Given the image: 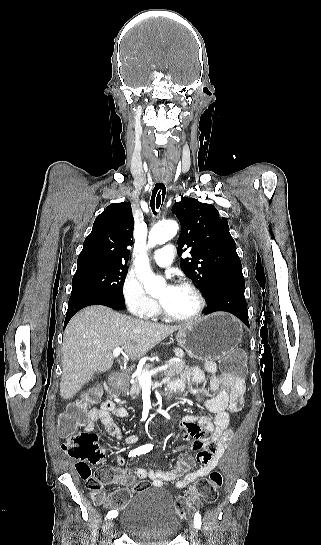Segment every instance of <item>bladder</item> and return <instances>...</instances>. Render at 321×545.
I'll list each match as a JSON object with an SVG mask.
<instances>
[{"label": "bladder", "mask_w": 321, "mask_h": 545, "mask_svg": "<svg viewBox=\"0 0 321 545\" xmlns=\"http://www.w3.org/2000/svg\"><path fill=\"white\" fill-rule=\"evenodd\" d=\"M119 520L124 533L138 545H167L180 530L172 497L164 488L136 492L121 511Z\"/></svg>", "instance_id": "1"}]
</instances>
